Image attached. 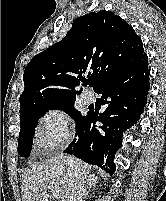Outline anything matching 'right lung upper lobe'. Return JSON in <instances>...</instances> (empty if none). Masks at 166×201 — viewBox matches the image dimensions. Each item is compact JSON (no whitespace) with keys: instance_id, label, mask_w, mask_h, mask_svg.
I'll return each mask as SVG.
<instances>
[{"instance_id":"right-lung-upper-lobe-1","label":"right lung upper lobe","mask_w":166,"mask_h":201,"mask_svg":"<svg viewBox=\"0 0 166 201\" xmlns=\"http://www.w3.org/2000/svg\"><path fill=\"white\" fill-rule=\"evenodd\" d=\"M144 55L140 37L119 16L101 10L76 18L63 40L35 55L26 66L20 115L73 102L84 74L88 73L95 91Z\"/></svg>"}]
</instances>
